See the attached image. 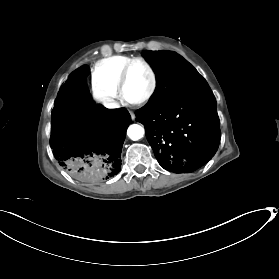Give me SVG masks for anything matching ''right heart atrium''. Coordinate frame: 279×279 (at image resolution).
Masks as SVG:
<instances>
[{"label":"right heart atrium","mask_w":279,"mask_h":279,"mask_svg":"<svg viewBox=\"0 0 279 279\" xmlns=\"http://www.w3.org/2000/svg\"><path fill=\"white\" fill-rule=\"evenodd\" d=\"M92 95L94 100L106 110H113L117 106L116 96L101 85H93Z\"/></svg>","instance_id":"obj_1"}]
</instances>
